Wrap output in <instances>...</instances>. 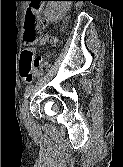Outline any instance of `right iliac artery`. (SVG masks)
<instances>
[{"instance_id": "obj_1", "label": "right iliac artery", "mask_w": 123, "mask_h": 167, "mask_svg": "<svg viewBox=\"0 0 123 167\" xmlns=\"http://www.w3.org/2000/svg\"><path fill=\"white\" fill-rule=\"evenodd\" d=\"M32 89H33V86H32V85L29 86V87L26 89V92H25V94H24V97H25V98H28V96L30 95Z\"/></svg>"}]
</instances>
